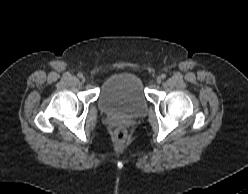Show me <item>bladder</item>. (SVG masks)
I'll return each instance as SVG.
<instances>
[{
    "label": "bladder",
    "mask_w": 248,
    "mask_h": 194,
    "mask_svg": "<svg viewBox=\"0 0 248 194\" xmlns=\"http://www.w3.org/2000/svg\"><path fill=\"white\" fill-rule=\"evenodd\" d=\"M147 105L143 81L135 73L122 72L112 75L99 94L100 108L110 114L141 116Z\"/></svg>",
    "instance_id": "31cf9c89"
}]
</instances>
